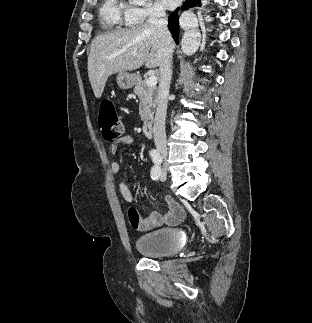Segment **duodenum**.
Returning a JSON list of instances; mask_svg holds the SVG:
<instances>
[{"label":"duodenum","mask_w":312,"mask_h":323,"mask_svg":"<svg viewBox=\"0 0 312 323\" xmlns=\"http://www.w3.org/2000/svg\"><path fill=\"white\" fill-rule=\"evenodd\" d=\"M153 117L149 116L143 120V132L146 137L151 138L153 136Z\"/></svg>","instance_id":"obj_1"}]
</instances>
